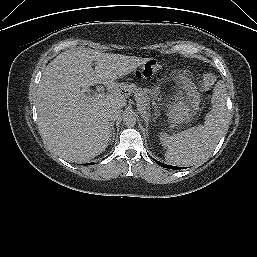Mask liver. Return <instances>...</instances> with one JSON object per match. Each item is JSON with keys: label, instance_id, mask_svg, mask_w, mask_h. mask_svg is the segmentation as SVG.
Wrapping results in <instances>:
<instances>
[{"label": "liver", "instance_id": "1", "mask_svg": "<svg viewBox=\"0 0 257 257\" xmlns=\"http://www.w3.org/2000/svg\"><path fill=\"white\" fill-rule=\"evenodd\" d=\"M148 60L86 48L56 56L43 72L36 101L41 136L52 151L75 163L105 151L112 127L106 114L121 111L127 102L120 91L123 85L116 80ZM96 84H104L111 93L96 100L85 98L80 88Z\"/></svg>", "mask_w": 257, "mask_h": 257}]
</instances>
